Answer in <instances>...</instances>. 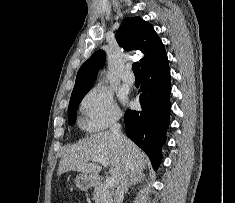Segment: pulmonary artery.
<instances>
[{
    "instance_id": "e3ab8cb5",
    "label": "pulmonary artery",
    "mask_w": 235,
    "mask_h": 203,
    "mask_svg": "<svg viewBox=\"0 0 235 203\" xmlns=\"http://www.w3.org/2000/svg\"><path fill=\"white\" fill-rule=\"evenodd\" d=\"M122 80L124 83L128 84V85H132L135 81V77L131 72V67L129 65H127L125 67V70L122 74Z\"/></svg>"
}]
</instances>
